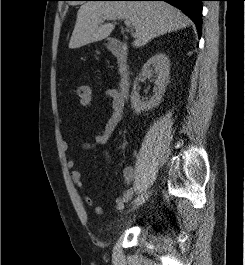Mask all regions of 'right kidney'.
Returning <instances> with one entry per match:
<instances>
[{"mask_svg": "<svg viewBox=\"0 0 245 265\" xmlns=\"http://www.w3.org/2000/svg\"><path fill=\"white\" fill-rule=\"evenodd\" d=\"M169 71L170 61L163 53L155 54L143 65L139 78L146 77L150 79L154 77V84L157 91L149 100H141L137 90L138 78H136L133 83V89L130 96L131 106L136 114H139L142 111L151 110L160 104L166 86L169 82Z\"/></svg>", "mask_w": 245, "mask_h": 265, "instance_id": "1", "label": "right kidney"}]
</instances>
